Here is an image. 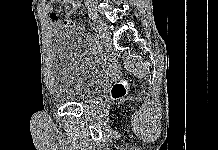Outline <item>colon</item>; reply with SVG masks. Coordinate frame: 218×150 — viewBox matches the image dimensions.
<instances>
[{
  "label": "colon",
  "instance_id": "5ec220e1",
  "mask_svg": "<svg viewBox=\"0 0 218 150\" xmlns=\"http://www.w3.org/2000/svg\"><path fill=\"white\" fill-rule=\"evenodd\" d=\"M128 85L126 82L121 81L115 83L110 90V95L113 100L122 99L127 93Z\"/></svg>",
  "mask_w": 218,
  "mask_h": 150
}]
</instances>
